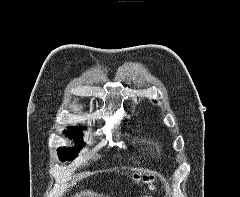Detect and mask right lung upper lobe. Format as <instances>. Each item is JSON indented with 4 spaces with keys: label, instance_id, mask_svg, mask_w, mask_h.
<instances>
[{
    "label": "right lung upper lobe",
    "instance_id": "obj_1",
    "mask_svg": "<svg viewBox=\"0 0 240 197\" xmlns=\"http://www.w3.org/2000/svg\"><path fill=\"white\" fill-rule=\"evenodd\" d=\"M73 129H82V127L78 128V127H72Z\"/></svg>",
    "mask_w": 240,
    "mask_h": 197
}]
</instances>
